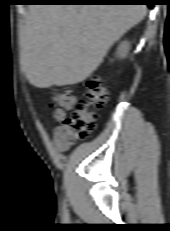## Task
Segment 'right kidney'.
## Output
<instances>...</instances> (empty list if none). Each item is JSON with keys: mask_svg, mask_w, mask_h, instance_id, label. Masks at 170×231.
<instances>
[{"mask_svg": "<svg viewBox=\"0 0 170 231\" xmlns=\"http://www.w3.org/2000/svg\"><path fill=\"white\" fill-rule=\"evenodd\" d=\"M130 50V43L128 41H124L120 44L117 50V54L121 58H125Z\"/></svg>", "mask_w": 170, "mask_h": 231, "instance_id": "right-kidney-1", "label": "right kidney"}]
</instances>
